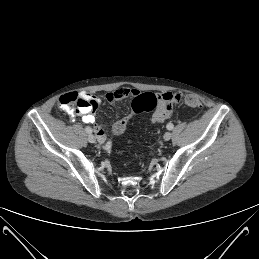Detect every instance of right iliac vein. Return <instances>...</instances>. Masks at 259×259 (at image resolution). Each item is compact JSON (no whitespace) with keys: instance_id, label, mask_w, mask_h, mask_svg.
Segmentation results:
<instances>
[{"instance_id":"1","label":"right iliac vein","mask_w":259,"mask_h":259,"mask_svg":"<svg viewBox=\"0 0 259 259\" xmlns=\"http://www.w3.org/2000/svg\"><path fill=\"white\" fill-rule=\"evenodd\" d=\"M88 141H89L90 143H95V142H96L95 136L90 133V134L88 135Z\"/></svg>"}]
</instances>
